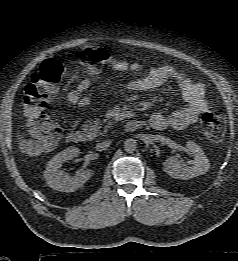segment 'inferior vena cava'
<instances>
[{"label":"inferior vena cava","instance_id":"1","mask_svg":"<svg viewBox=\"0 0 238 261\" xmlns=\"http://www.w3.org/2000/svg\"><path fill=\"white\" fill-rule=\"evenodd\" d=\"M110 146V142L106 141V142H100L98 144H96V150L97 151H105L108 149V147Z\"/></svg>","mask_w":238,"mask_h":261}]
</instances>
